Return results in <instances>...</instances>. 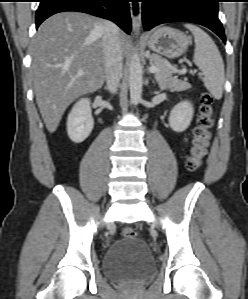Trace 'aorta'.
<instances>
[{
  "mask_svg": "<svg viewBox=\"0 0 248 299\" xmlns=\"http://www.w3.org/2000/svg\"><path fill=\"white\" fill-rule=\"evenodd\" d=\"M142 84V65L138 54L135 52L131 57L129 65L130 99L135 105L141 101Z\"/></svg>",
  "mask_w": 248,
  "mask_h": 299,
  "instance_id": "obj_1",
  "label": "aorta"
}]
</instances>
